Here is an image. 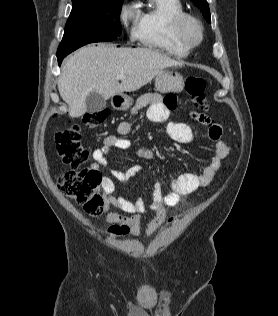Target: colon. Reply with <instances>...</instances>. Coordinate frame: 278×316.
Instances as JSON below:
<instances>
[{"mask_svg": "<svg viewBox=\"0 0 278 316\" xmlns=\"http://www.w3.org/2000/svg\"><path fill=\"white\" fill-rule=\"evenodd\" d=\"M206 80L200 77H189L185 81V90L194 106L206 110L208 102L205 97ZM107 118L105 111L87 113L83 116V126L88 129L99 127ZM82 127L72 124L56 132L55 143L57 153L63 163L69 167L57 178L59 190L67 197L82 205L92 216H99L104 210L102 193V177L84 165L90 159V152L82 145Z\"/></svg>", "mask_w": 278, "mask_h": 316, "instance_id": "5ec220e1", "label": "colon"}]
</instances>
